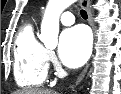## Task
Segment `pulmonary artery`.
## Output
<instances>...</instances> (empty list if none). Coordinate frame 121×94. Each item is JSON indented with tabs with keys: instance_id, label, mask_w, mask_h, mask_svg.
I'll use <instances>...</instances> for the list:
<instances>
[{
	"instance_id": "pulmonary-artery-1",
	"label": "pulmonary artery",
	"mask_w": 121,
	"mask_h": 94,
	"mask_svg": "<svg viewBox=\"0 0 121 94\" xmlns=\"http://www.w3.org/2000/svg\"><path fill=\"white\" fill-rule=\"evenodd\" d=\"M60 21L63 25H72L75 21L74 15L71 12H65L61 15Z\"/></svg>"
}]
</instances>
